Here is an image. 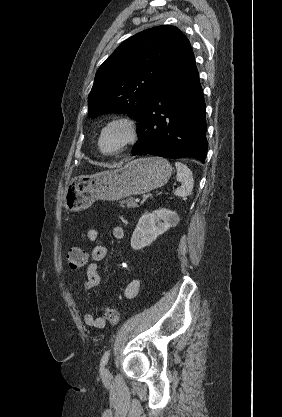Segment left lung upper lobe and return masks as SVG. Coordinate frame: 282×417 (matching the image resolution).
<instances>
[{
    "mask_svg": "<svg viewBox=\"0 0 282 417\" xmlns=\"http://www.w3.org/2000/svg\"><path fill=\"white\" fill-rule=\"evenodd\" d=\"M190 47L174 26H157L128 38L99 67L88 97V116L127 113L139 121L142 109L170 67Z\"/></svg>",
    "mask_w": 282,
    "mask_h": 417,
    "instance_id": "left-lung-upper-lobe-1",
    "label": "left lung upper lobe"
}]
</instances>
